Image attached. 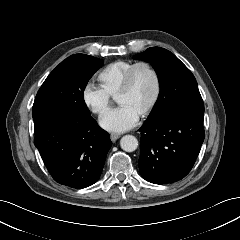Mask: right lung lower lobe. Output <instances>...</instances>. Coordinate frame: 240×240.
Instances as JSON below:
<instances>
[{
  "label": "right lung lower lobe",
  "mask_w": 240,
  "mask_h": 240,
  "mask_svg": "<svg viewBox=\"0 0 240 240\" xmlns=\"http://www.w3.org/2000/svg\"><path fill=\"white\" fill-rule=\"evenodd\" d=\"M33 120L34 144L57 183L82 189L99 179L112 142L90 115L38 110Z\"/></svg>",
  "instance_id": "98d812e1"
}]
</instances>
